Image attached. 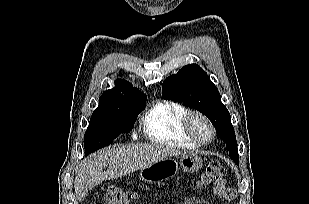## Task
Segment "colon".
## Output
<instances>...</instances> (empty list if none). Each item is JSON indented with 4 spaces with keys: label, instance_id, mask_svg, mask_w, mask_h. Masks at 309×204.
Wrapping results in <instances>:
<instances>
[{
    "label": "colon",
    "instance_id": "1",
    "mask_svg": "<svg viewBox=\"0 0 309 204\" xmlns=\"http://www.w3.org/2000/svg\"><path fill=\"white\" fill-rule=\"evenodd\" d=\"M225 174L226 169L223 164L219 160H213L207 165L205 171L199 179L198 185H215L223 180ZM135 197V193L129 190L116 186H110L106 190L104 201L106 204H130L135 199Z\"/></svg>",
    "mask_w": 309,
    "mask_h": 204
}]
</instances>
